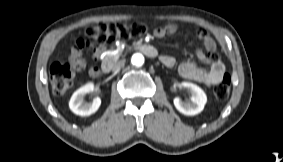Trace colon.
Returning <instances> with one entry per match:
<instances>
[{"label": "colon", "mask_w": 283, "mask_h": 162, "mask_svg": "<svg viewBox=\"0 0 283 162\" xmlns=\"http://www.w3.org/2000/svg\"><path fill=\"white\" fill-rule=\"evenodd\" d=\"M147 27L143 24H107L98 23L89 26L85 30V35L91 40L100 43L111 42L116 39H129L140 37L145 34ZM74 80V69L70 64L56 62L50 68V83L52 91L56 95L65 93L72 86ZM231 88L229 75H224L222 80L216 85L214 92L219 100L228 97Z\"/></svg>", "instance_id": "obj_1"}]
</instances>
